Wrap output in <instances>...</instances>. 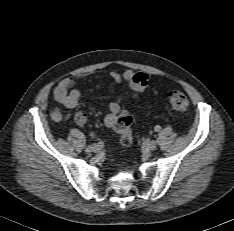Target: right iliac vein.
Instances as JSON below:
<instances>
[{"instance_id":"right-iliac-vein-1","label":"right iliac vein","mask_w":234,"mask_h":231,"mask_svg":"<svg viewBox=\"0 0 234 231\" xmlns=\"http://www.w3.org/2000/svg\"><path fill=\"white\" fill-rule=\"evenodd\" d=\"M100 151V147L98 145L94 146V147H87L85 149L86 153H90V152H99Z\"/></svg>"}]
</instances>
